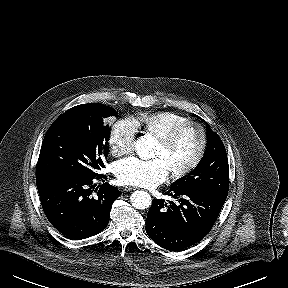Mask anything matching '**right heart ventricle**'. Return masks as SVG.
I'll return each instance as SVG.
<instances>
[{
	"instance_id": "obj_1",
	"label": "right heart ventricle",
	"mask_w": 288,
	"mask_h": 288,
	"mask_svg": "<svg viewBox=\"0 0 288 288\" xmlns=\"http://www.w3.org/2000/svg\"><path fill=\"white\" fill-rule=\"evenodd\" d=\"M137 128L159 138L174 126L188 121V118L172 111L142 114L133 119Z\"/></svg>"
}]
</instances>
